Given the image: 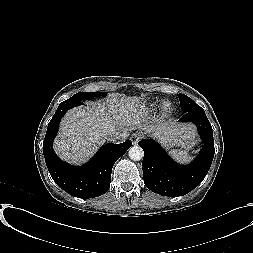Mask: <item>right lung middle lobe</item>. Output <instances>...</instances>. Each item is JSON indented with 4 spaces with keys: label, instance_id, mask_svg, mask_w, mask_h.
<instances>
[{
    "label": "right lung middle lobe",
    "instance_id": "dd1d6c3e",
    "mask_svg": "<svg viewBox=\"0 0 253 253\" xmlns=\"http://www.w3.org/2000/svg\"><path fill=\"white\" fill-rule=\"evenodd\" d=\"M104 92L103 93H96V92H79L75 95H73L71 98H69L68 100H66V102H76V101H82V100H86L88 98L91 97H96V96H104Z\"/></svg>",
    "mask_w": 253,
    "mask_h": 253
}]
</instances>
